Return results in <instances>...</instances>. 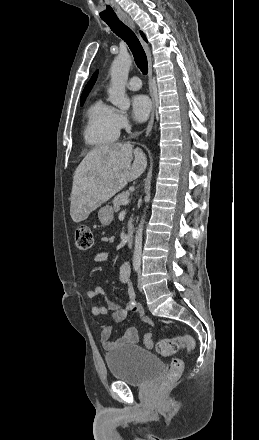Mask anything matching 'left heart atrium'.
Instances as JSON below:
<instances>
[{"mask_svg": "<svg viewBox=\"0 0 259 440\" xmlns=\"http://www.w3.org/2000/svg\"><path fill=\"white\" fill-rule=\"evenodd\" d=\"M132 111L137 121H145L151 111L152 103L144 94L135 95L131 101Z\"/></svg>", "mask_w": 259, "mask_h": 440, "instance_id": "39dd6f15", "label": "left heart atrium"}]
</instances>
